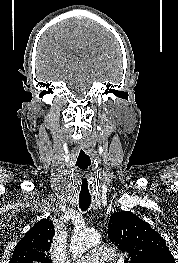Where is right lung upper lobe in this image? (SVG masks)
Here are the masks:
<instances>
[{
  "mask_svg": "<svg viewBox=\"0 0 178 263\" xmlns=\"http://www.w3.org/2000/svg\"><path fill=\"white\" fill-rule=\"evenodd\" d=\"M54 234L52 221L41 219L18 242L9 263H52L49 250Z\"/></svg>",
  "mask_w": 178,
  "mask_h": 263,
  "instance_id": "1",
  "label": "right lung upper lobe"
}]
</instances>
